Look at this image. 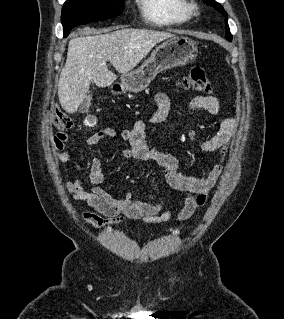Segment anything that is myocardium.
Masks as SVG:
<instances>
[{
  "instance_id": "1",
  "label": "myocardium",
  "mask_w": 284,
  "mask_h": 319,
  "mask_svg": "<svg viewBox=\"0 0 284 319\" xmlns=\"http://www.w3.org/2000/svg\"><path fill=\"white\" fill-rule=\"evenodd\" d=\"M185 11L190 16H197L200 14V5L195 0H185Z\"/></svg>"
}]
</instances>
